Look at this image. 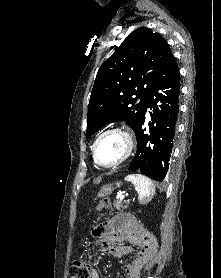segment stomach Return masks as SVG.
Here are the masks:
<instances>
[{
	"mask_svg": "<svg viewBox=\"0 0 221 278\" xmlns=\"http://www.w3.org/2000/svg\"><path fill=\"white\" fill-rule=\"evenodd\" d=\"M120 184H121L120 182H117V183H115L114 185H116V187H117V186H119ZM114 185H113V184L104 185V186L100 189V191H99V193H98V197H105V196L110 195V194L114 191V189H115Z\"/></svg>",
	"mask_w": 221,
	"mask_h": 278,
	"instance_id": "0dacf381",
	"label": "stomach"
}]
</instances>
